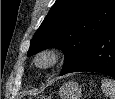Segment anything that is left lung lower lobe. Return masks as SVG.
<instances>
[{"label": "left lung lower lobe", "instance_id": "obj_1", "mask_svg": "<svg viewBox=\"0 0 115 99\" xmlns=\"http://www.w3.org/2000/svg\"><path fill=\"white\" fill-rule=\"evenodd\" d=\"M81 71L98 72L115 78V24L92 45L67 73Z\"/></svg>", "mask_w": 115, "mask_h": 99}]
</instances>
